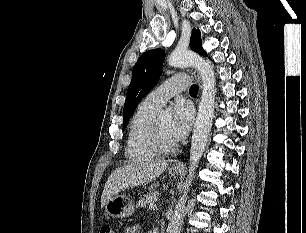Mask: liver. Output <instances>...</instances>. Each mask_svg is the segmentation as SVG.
Returning a JSON list of instances; mask_svg holds the SVG:
<instances>
[{
	"mask_svg": "<svg viewBox=\"0 0 306 233\" xmlns=\"http://www.w3.org/2000/svg\"><path fill=\"white\" fill-rule=\"evenodd\" d=\"M167 160L131 162L119 167L109 176L102 195L101 207L121 191L148 183L160 176L167 168Z\"/></svg>",
	"mask_w": 306,
	"mask_h": 233,
	"instance_id": "liver-1",
	"label": "liver"
}]
</instances>
